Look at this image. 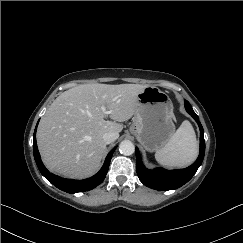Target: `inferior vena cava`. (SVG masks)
I'll list each match as a JSON object with an SVG mask.
<instances>
[{
    "instance_id": "1",
    "label": "inferior vena cava",
    "mask_w": 243,
    "mask_h": 243,
    "mask_svg": "<svg viewBox=\"0 0 243 243\" xmlns=\"http://www.w3.org/2000/svg\"><path fill=\"white\" fill-rule=\"evenodd\" d=\"M103 140L106 144H110L116 140V134L113 132H106L103 134Z\"/></svg>"
}]
</instances>
